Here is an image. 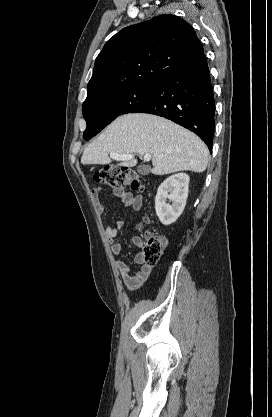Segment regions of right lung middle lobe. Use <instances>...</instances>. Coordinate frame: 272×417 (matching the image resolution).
I'll use <instances>...</instances> for the list:
<instances>
[{
	"mask_svg": "<svg viewBox=\"0 0 272 417\" xmlns=\"http://www.w3.org/2000/svg\"><path fill=\"white\" fill-rule=\"evenodd\" d=\"M158 86L159 84L134 86L84 103L82 112L87 122L84 139L99 133L116 117L133 112L153 95Z\"/></svg>",
	"mask_w": 272,
	"mask_h": 417,
	"instance_id": "obj_1",
	"label": "right lung middle lobe"
}]
</instances>
